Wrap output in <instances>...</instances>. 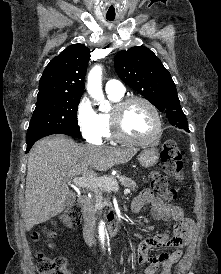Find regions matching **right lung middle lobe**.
<instances>
[{
	"label": "right lung middle lobe",
	"instance_id": "dd1d6c3e",
	"mask_svg": "<svg viewBox=\"0 0 221 274\" xmlns=\"http://www.w3.org/2000/svg\"><path fill=\"white\" fill-rule=\"evenodd\" d=\"M81 97H48L37 100L26 141L50 134L81 137L77 110Z\"/></svg>",
	"mask_w": 221,
	"mask_h": 274
}]
</instances>
